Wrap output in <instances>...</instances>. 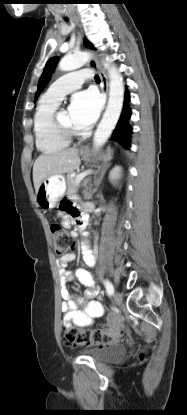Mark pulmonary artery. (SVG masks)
Here are the masks:
<instances>
[{
  "instance_id": "1",
  "label": "pulmonary artery",
  "mask_w": 187,
  "mask_h": 415,
  "mask_svg": "<svg viewBox=\"0 0 187 415\" xmlns=\"http://www.w3.org/2000/svg\"><path fill=\"white\" fill-rule=\"evenodd\" d=\"M92 78L90 70H79L68 73L47 89L45 96L53 101H60L66 94H69L81 87V85Z\"/></svg>"
}]
</instances>
